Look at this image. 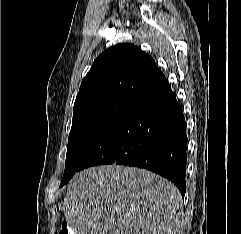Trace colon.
<instances>
[{
    "mask_svg": "<svg viewBox=\"0 0 241 234\" xmlns=\"http://www.w3.org/2000/svg\"><path fill=\"white\" fill-rule=\"evenodd\" d=\"M59 234H71L66 224H62Z\"/></svg>",
    "mask_w": 241,
    "mask_h": 234,
    "instance_id": "obj_1",
    "label": "colon"
}]
</instances>
